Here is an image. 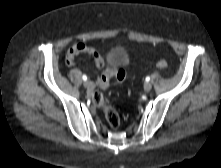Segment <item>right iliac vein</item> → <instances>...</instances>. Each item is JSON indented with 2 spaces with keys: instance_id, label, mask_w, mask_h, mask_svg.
<instances>
[{
  "instance_id": "1",
  "label": "right iliac vein",
  "mask_w": 221,
  "mask_h": 168,
  "mask_svg": "<svg viewBox=\"0 0 221 168\" xmlns=\"http://www.w3.org/2000/svg\"><path fill=\"white\" fill-rule=\"evenodd\" d=\"M93 86H94L93 83L91 81H89V80H86L84 82V87L87 88V89H92Z\"/></svg>"
}]
</instances>
